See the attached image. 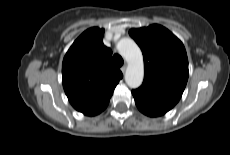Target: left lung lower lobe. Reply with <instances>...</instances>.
<instances>
[{
  "instance_id": "1",
  "label": "left lung lower lobe",
  "mask_w": 230,
  "mask_h": 155,
  "mask_svg": "<svg viewBox=\"0 0 230 155\" xmlns=\"http://www.w3.org/2000/svg\"><path fill=\"white\" fill-rule=\"evenodd\" d=\"M132 94L137 108L145 115L150 117L162 116L173 107L158 101L154 98L145 96L132 90Z\"/></svg>"
}]
</instances>
